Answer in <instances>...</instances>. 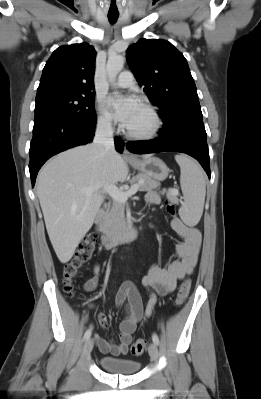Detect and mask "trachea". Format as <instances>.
I'll list each match as a JSON object with an SVG mask.
<instances>
[{
	"label": "trachea",
	"mask_w": 261,
	"mask_h": 399,
	"mask_svg": "<svg viewBox=\"0 0 261 399\" xmlns=\"http://www.w3.org/2000/svg\"><path fill=\"white\" fill-rule=\"evenodd\" d=\"M111 5H113V3H111ZM118 16V14H108V19L111 23H115L118 19Z\"/></svg>",
	"instance_id": "3493384b"
}]
</instances>
